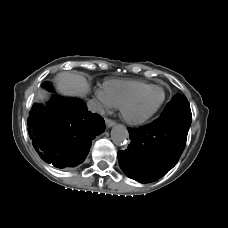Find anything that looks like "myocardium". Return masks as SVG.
Instances as JSON below:
<instances>
[{
  "mask_svg": "<svg viewBox=\"0 0 228 228\" xmlns=\"http://www.w3.org/2000/svg\"><path fill=\"white\" fill-rule=\"evenodd\" d=\"M152 89H159L162 91V94H163L162 99L158 103V105L150 112L143 114L141 116L133 117V116L129 115L127 112V107L130 104H132L134 101H136L140 96H142L143 94H145L146 92H148L149 90H152ZM165 99H166V93L162 87L157 86V85H150L147 88L136 92L135 94L129 96L126 100H124L123 103L120 105V112H121V115L124 118V120L126 122H128L129 124L141 125V124L145 123L146 121H148L150 118H152L159 111V109L165 102Z\"/></svg>",
  "mask_w": 228,
  "mask_h": 228,
  "instance_id": "obj_1",
  "label": "myocardium"
}]
</instances>
